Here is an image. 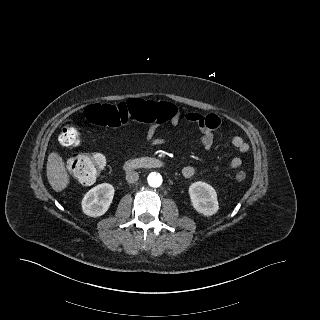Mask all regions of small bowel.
I'll use <instances>...</instances> for the list:
<instances>
[{
	"label": "small bowel",
	"mask_w": 320,
	"mask_h": 320,
	"mask_svg": "<svg viewBox=\"0 0 320 320\" xmlns=\"http://www.w3.org/2000/svg\"><path fill=\"white\" fill-rule=\"evenodd\" d=\"M174 107V106H173ZM181 114L176 107H174V114L169 119L171 124L176 125L179 123ZM184 118L187 121L196 123L199 125L202 136H201V146L208 149L210 148L215 140L214 130L220 125V119L216 116H204L196 112L186 113ZM158 124H144L143 123V133L145 140L150 145H158L163 139L156 136ZM233 147L241 154H245L249 151V144L240 136H235L232 139ZM242 165V160L239 157H234L230 160L229 166L232 169H237ZM196 169L194 166L188 165L182 169V175L185 178H191L195 175Z\"/></svg>",
	"instance_id": "c3829d8e"
}]
</instances>
